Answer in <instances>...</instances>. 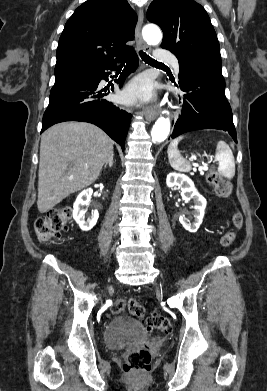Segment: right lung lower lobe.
Listing matches in <instances>:
<instances>
[{
	"instance_id": "obj_1",
	"label": "right lung lower lobe",
	"mask_w": 267,
	"mask_h": 391,
	"mask_svg": "<svg viewBox=\"0 0 267 391\" xmlns=\"http://www.w3.org/2000/svg\"><path fill=\"white\" fill-rule=\"evenodd\" d=\"M125 60L127 65L120 79L116 81L119 87L123 85L124 75L134 72L139 64L134 51ZM115 65L116 63L100 65L73 79L55 84L50 92L48 108L43 115L41 133L64 121L89 122L103 129L123 149L131 115L103 99L110 90L98 87L102 79H107L108 73L105 70L112 71ZM113 90L114 88H111V91Z\"/></svg>"
}]
</instances>
